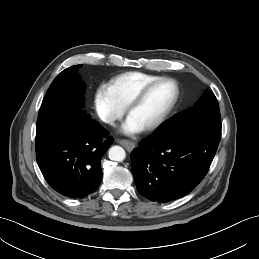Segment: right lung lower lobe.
I'll return each instance as SVG.
<instances>
[{
    "instance_id": "98d812e1",
    "label": "right lung lower lobe",
    "mask_w": 259,
    "mask_h": 259,
    "mask_svg": "<svg viewBox=\"0 0 259 259\" xmlns=\"http://www.w3.org/2000/svg\"><path fill=\"white\" fill-rule=\"evenodd\" d=\"M95 120L57 122L36 137V159L47 183L70 198L93 193L102 178L100 160L113 138Z\"/></svg>"
}]
</instances>
